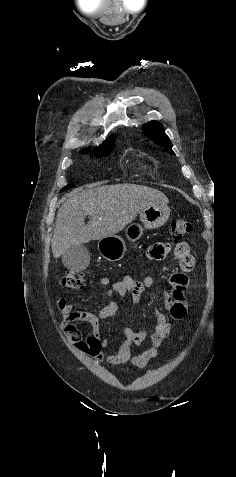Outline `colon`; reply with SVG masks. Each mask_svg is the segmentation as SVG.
I'll return each instance as SVG.
<instances>
[{
    "instance_id": "obj_1",
    "label": "colon",
    "mask_w": 236,
    "mask_h": 477,
    "mask_svg": "<svg viewBox=\"0 0 236 477\" xmlns=\"http://www.w3.org/2000/svg\"><path fill=\"white\" fill-rule=\"evenodd\" d=\"M193 224L185 219H176L171 222L170 242H177L181 238L189 235L193 231ZM189 251L186 247L176 246L174 254L176 257L187 254ZM87 281L83 274L78 272H66L61 278V285L69 289H82L86 286Z\"/></svg>"
}]
</instances>
